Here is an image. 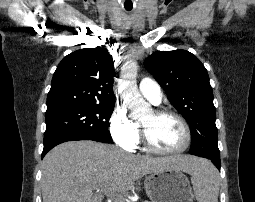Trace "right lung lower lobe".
<instances>
[{
  "instance_id": "1",
  "label": "right lung lower lobe",
  "mask_w": 255,
  "mask_h": 202,
  "mask_svg": "<svg viewBox=\"0 0 255 202\" xmlns=\"http://www.w3.org/2000/svg\"><path fill=\"white\" fill-rule=\"evenodd\" d=\"M75 140H90V139L77 134H56V135H52V136L44 138V149L42 152V158L54 146L66 141H75Z\"/></svg>"
}]
</instances>
